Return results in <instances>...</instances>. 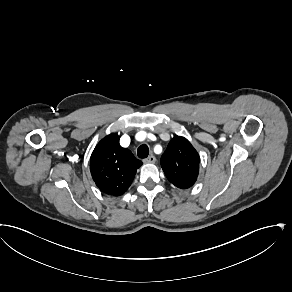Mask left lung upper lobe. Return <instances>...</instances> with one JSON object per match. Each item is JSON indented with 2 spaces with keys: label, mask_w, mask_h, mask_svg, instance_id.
Returning a JSON list of instances; mask_svg holds the SVG:
<instances>
[{
  "label": "left lung upper lobe",
  "mask_w": 292,
  "mask_h": 292,
  "mask_svg": "<svg viewBox=\"0 0 292 292\" xmlns=\"http://www.w3.org/2000/svg\"><path fill=\"white\" fill-rule=\"evenodd\" d=\"M199 155L191 143L175 136L161 157V166L167 179L180 189L191 187L199 174Z\"/></svg>",
  "instance_id": "left-lung-upper-lobe-1"
}]
</instances>
